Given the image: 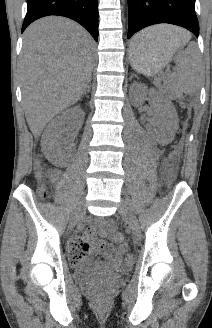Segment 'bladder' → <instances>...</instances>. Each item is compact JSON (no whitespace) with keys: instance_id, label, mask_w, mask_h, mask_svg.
Segmentation results:
<instances>
[{"instance_id":"obj_1","label":"bladder","mask_w":212,"mask_h":328,"mask_svg":"<svg viewBox=\"0 0 212 328\" xmlns=\"http://www.w3.org/2000/svg\"><path fill=\"white\" fill-rule=\"evenodd\" d=\"M117 274L101 273L95 270L90 261H84L78 265V269L74 273L76 282L80 284H91L101 280L117 278Z\"/></svg>"}]
</instances>
